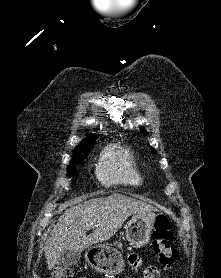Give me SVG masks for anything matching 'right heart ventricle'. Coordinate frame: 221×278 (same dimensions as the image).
Wrapping results in <instances>:
<instances>
[{
    "instance_id": "1",
    "label": "right heart ventricle",
    "mask_w": 221,
    "mask_h": 278,
    "mask_svg": "<svg viewBox=\"0 0 221 278\" xmlns=\"http://www.w3.org/2000/svg\"><path fill=\"white\" fill-rule=\"evenodd\" d=\"M101 182L107 186L126 185L138 187L143 184L144 175L136 155L122 145L108 147L97 167Z\"/></svg>"
}]
</instances>
